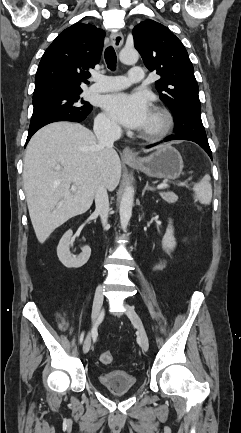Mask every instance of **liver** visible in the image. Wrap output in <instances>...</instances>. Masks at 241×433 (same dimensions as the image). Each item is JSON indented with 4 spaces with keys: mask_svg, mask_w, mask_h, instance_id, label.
<instances>
[{
    "mask_svg": "<svg viewBox=\"0 0 241 433\" xmlns=\"http://www.w3.org/2000/svg\"><path fill=\"white\" fill-rule=\"evenodd\" d=\"M120 178L117 152L100 146L83 125L55 122L37 131L26 148L23 183L38 241L43 244L57 227L85 213L99 183L113 191Z\"/></svg>",
    "mask_w": 241,
    "mask_h": 433,
    "instance_id": "6515ba94",
    "label": "liver"
}]
</instances>
